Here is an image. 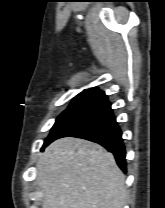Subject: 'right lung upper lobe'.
Instances as JSON below:
<instances>
[{
    "instance_id": "right-lung-upper-lobe-1",
    "label": "right lung upper lobe",
    "mask_w": 165,
    "mask_h": 208,
    "mask_svg": "<svg viewBox=\"0 0 165 208\" xmlns=\"http://www.w3.org/2000/svg\"><path fill=\"white\" fill-rule=\"evenodd\" d=\"M107 100L103 91L96 88L86 89L78 94L69 107H89L94 108Z\"/></svg>"
}]
</instances>
